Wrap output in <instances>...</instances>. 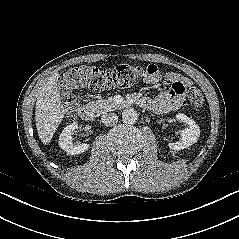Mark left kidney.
<instances>
[{
    "instance_id": "1",
    "label": "left kidney",
    "mask_w": 239,
    "mask_h": 239,
    "mask_svg": "<svg viewBox=\"0 0 239 239\" xmlns=\"http://www.w3.org/2000/svg\"><path fill=\"white\" fill-rule=\"evenodd\" d=\"M176 119L188 127L180 130V139L175 143H169L168 146L173 150H182L197 142L200 137V128L193 119L182 113L176 114Z\"/></svg>"
}]
</instances>
